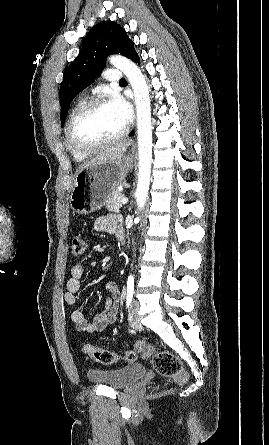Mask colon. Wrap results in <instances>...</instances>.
<instances>
[{
	"label": "colon",
	"instance_id": "obj_1",
	"mask_svg": "<svg viewBox=\"0 0 269 445\" xmlns=\"http://www.w3.org/2000/svg\"><path fill=\"white\" fill-rule=\"evenodd\" d=\"M87 238L84 235H76L72 239L71 253L74 257H80L87 248ZM84 355L103 365L115 364L119 361L133 363L137 359V353L144 358H150L155 371L163 377L172 378L177 382H184L186 374L180 359L173 353L165 350L154 349L143 341H138L135 351L128 350L117 354L108 350L99 349L91 345H85L82 349Z\"/></svg>",
	"mask_w": 269,
	"mask_h": 445
}]
</instances>
